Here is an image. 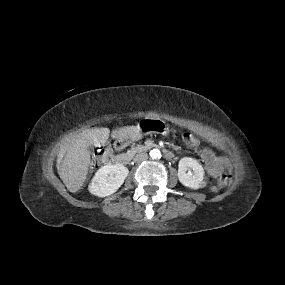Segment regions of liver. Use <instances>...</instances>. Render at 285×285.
Returning <instances> with one entry per match:
<instances>
[{
  "mask_svg": "<svg viewBox=\"0 0 285 285\" xmlns=\"http://www.w3.org/2000/svg\"><path fill=\"white\" fill-rule=\"evenodd\" d=\"M136 131V126L120 128L115 132L116 137H127ZM110 135L108 128H94L80 133L69 145L61 165V179L67 189L75 193L83 185L90 164L88 146L104 144Z\"/></svg>",
  "mask_w": 285,
  "mask_h": 285,
  "instance_id": "obj_1",
  "label": "liver"
}]
</instances>
